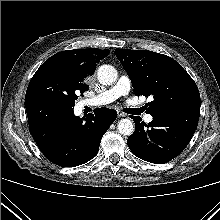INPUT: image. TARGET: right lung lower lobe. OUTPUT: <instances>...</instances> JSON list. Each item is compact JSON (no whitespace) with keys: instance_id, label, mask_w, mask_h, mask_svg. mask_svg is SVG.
<instances>
[{"instance_id":"1","label":"right lung lower lobe","mask_w":220,"mask_h":220,"mask_svg":"<svg viewBox=\"0 0 220 220\" xmlns=\"http://www.w3.org/2000/svg\"><path fill=\"white\" fill-rule=\"evenodd\" d=\"M31 135L44 156L63 167H75L94 158L101 138L117 112L99 108L86 119L76 117L73 107L45 98L25 99Z\"/></svg>"}]
</instances>
